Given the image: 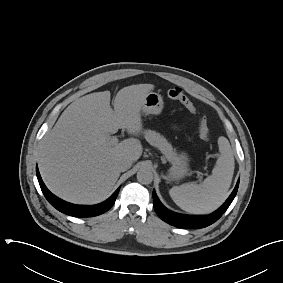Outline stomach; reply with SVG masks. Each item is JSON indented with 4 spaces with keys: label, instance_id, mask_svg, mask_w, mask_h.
I'll return each instance as SVG.
<instances>
[{
    "label": "stomach",
    "instance_id": "stomach-1",
    "mask_svg": "<svg viewBox=\"0 0 283 283\" xmlns=\"http://www.w3.org/2000/svg\"><path fill=\"white\" fill-rule=\"evenodd\" d=\"M164 102L160 94L149 92L141 106V112L145 115L160 114L163 110ZM189 171L188 156L185 153L180 154L173 161V165L169 170L168 180H180L184 178Z\"/></svg>",
    "mask_w": 283,
    "mask_h": 283
}]
</instances>
